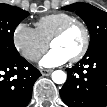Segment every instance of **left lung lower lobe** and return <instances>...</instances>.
<instances>
[{
  "instance_id": "left-lung-lower-lobe-1",
  "label": "left lung lower lobe",
  "mask_w": 107,
  "mask_h": 107,
  "mask_svg": "<svg viewBox=\"0 0 107 107\" xmlns=\"http://www.w3.org/2000/svg\"><path fill=\"white\" fill-rule=\"evenodd\" d=\"M67 70L60 96L68 107L107 106V42L90 51Z\"/></svg>"
}]
</instances>
